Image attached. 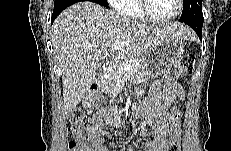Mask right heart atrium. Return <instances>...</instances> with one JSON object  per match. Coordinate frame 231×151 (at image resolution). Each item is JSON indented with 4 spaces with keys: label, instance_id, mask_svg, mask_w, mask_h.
Listing matches in <instances>:
<instances>
[{
    "label": "right heart atrium",
    "instance_id": "d8ad5b80",
    "mask_svg": "<svg viewBox=\"0 0 231 151\" xmlns=\"http://www.w3.org/2000/svg\"><path fill=\"white\" fill-rule=\"evenodd\" d=\"M122 2V0H109L110 5H112L117 10H119Z\"/></svg>",
    "mask_w": 231,
    "mask_h": 151
}]
</instances>
